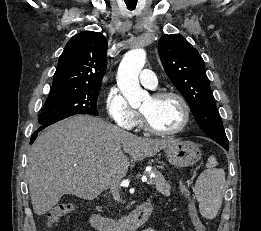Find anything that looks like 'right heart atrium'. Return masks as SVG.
<instances>
[{
    "mask_svg": "<svg viewBox=\"0 0 261 231\" xmlns=\"http://www.w3.org/2000/svg\"><path fill=\"white\" fill-rule=\"evenodd\" d=\"M106 109L113 123L124 130H133L139 122V113L129 105L117 89L108 92Z\"/></svg>",
    "mask_w": 261,
    "mask_h": 231,
    "instance_id": "obj_1",
    "label": "right heart atrium"
}]
</instances>
